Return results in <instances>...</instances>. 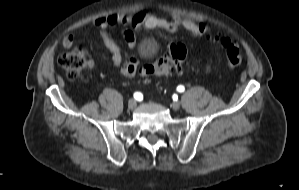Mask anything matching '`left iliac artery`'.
<instances>
[{
	"mask_svg": "<svg viewBox=\"0 0 299 190\" xmlns=\"http://www.w3.org/2000/svg\"><path fill=\"white\" fill-rule=\"evenodd\" d=\"M184 90H185V88H184L183 85H179V86L177 87V91H178V92H184Z\"/></svg>",
	"mask_w": 299,
	"mask_h": 190,
	"instance_id": "obj_1",
	"label": "left iliac artery"
}]
</instances>
